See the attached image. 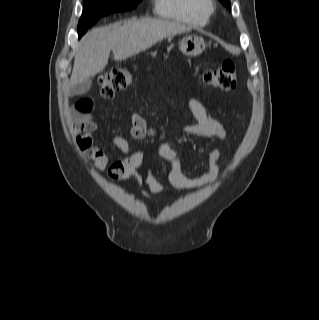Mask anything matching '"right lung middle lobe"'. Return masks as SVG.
Returning <instances> with one entry per match:
<instances>
[{
	"label": "right lung middle lobe",
	"mask_w": 319,
	"mask_h": 320,
	"mask_svg": "<svg viewBox=\"0 0 319 320\" xmlns=\"http://www.w3.org/2000/svg\"><path fill=\"white\" fill-rule=\"evenodd\" d=\"M142 0H84L82 16L78 24L81 37L101 16L113 12L128 11L137 7Z\"/></svg>",
	"instance_id": "right-lung-middle-lobe-1"
}]
</instances>
